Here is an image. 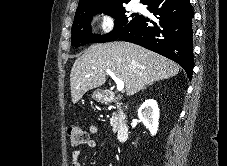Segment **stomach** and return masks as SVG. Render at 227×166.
Listing matches in <instances>:
<instances>
[{"mask_svg":"<svg viewBox=\"0 0 227 166\" xmlns=\"http://www.w3.org/2000/svg\"><path fill=\"white\" fill-rule=\"evenodd\" d=\"M92 98L97 102H103L105 99V93L104 91L97 89L93 92Z\"/></svg>","mask_w":227,"mask_h":166,"instance_id":"0dacf381","label":"stomach"}]
</instances>
